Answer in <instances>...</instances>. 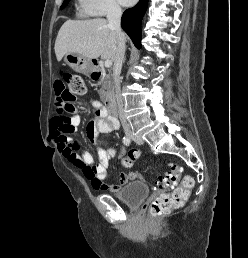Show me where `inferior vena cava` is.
Wrapping results in <instances>:
<instances>
[{"label":"inferior vena cava","instance_id":"602c4592","mask_svg":"<svg viewBox=\"0 0 248 258\" xmlns=\"http://www.w3.org/2000/svg\"><path fill=\"white\" fill-rule=\"evenodd\" d=\"M121 7L116 2H111L108 6L107 19L109 27L116 32L117 35V48L114 58L113 66V81L115 87L116 103L119 113V118L125 134H131L130 126L127 122L126 114L124 112V104L120 90V73L122 69V63L125 55V36L121 29Z\"/></svg>","mask_w":248,"mask_h":258}]
</instances>
